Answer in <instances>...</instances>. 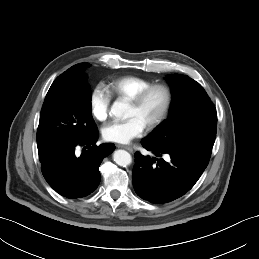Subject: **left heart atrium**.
I'll return each mask as SVG.
<instances>
[{"label":"left heart atrium","mask_w":259,"mask_h":259,"mask_svg":"<svg viewBox=\"0 0 259 259\" xmlns=\"http://www.w3.org/2000/svg\"><path fill=\"white\" fill-rule=\"evenodd\" d=\"M146 126L138 118L132 117L124 121H114L103 128V137L107 141L129 143L145 132Z\"/></svg>","instance_id":"obj_1"}]
</instances>
